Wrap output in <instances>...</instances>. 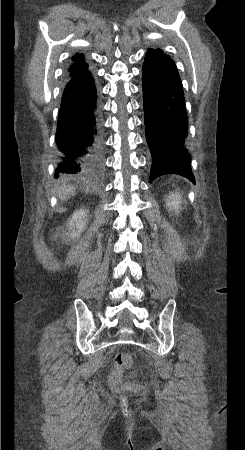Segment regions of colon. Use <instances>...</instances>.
I'll return each mask as SVG.
<instances>
[{
  "mask_svg": "<svg viewBox=\"0 0 245 450\" xmlns=\"http://www.w3.org/2000/svg\"><path fill=\"white\" fill-rule=\"evenodd\" d=\"M131 355L126 352L117 353L114 357V371L110 377L109 384L114 390H122L126 386L140 388L141 385L135 382L124 383L122 378L131 366Z\"/></svg>",
  "mask_w": 245,
  "mask_h": 450,
  "instance_id": "1",
  "label": "colon"
}]
</instances>
